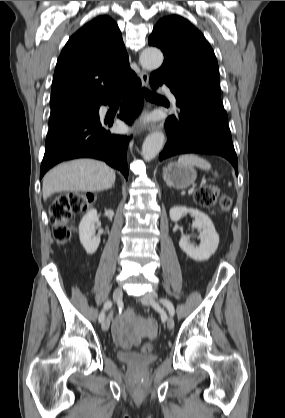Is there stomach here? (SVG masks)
Masks as SVG:
<instances>
[{
  "label": "stomach",
  "instance_id": "0dacf381",
  "mask_svg": "<svg viewBox=\"0 0 285 418\" xmlns=\"http://www.w3.org/2000/svg\"><path fill=\"white\" fill-rule=\"evenodd\" d=\"M196 176V170L192 166H182L177 162H171L163 168V179L167 185L176 189L189 187L196 180Z\"/></svg>",
  "mask_w": 285,
  "mask_h": 418
}]
</instances>
